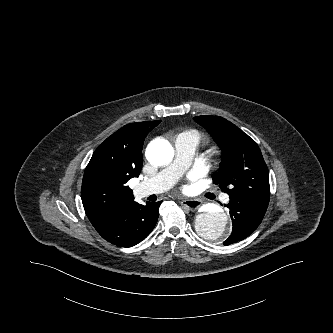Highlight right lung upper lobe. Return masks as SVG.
<instances>
[{"label":"right lung upper lobe","mask_w":333,"mask_h":333,"mask_svg":"<svg viewBox=\"0 0 333 333\" xmlns=\"http://www.w3.org/2000/svg\"><path fill=\"white\" fill-rule=\"evenodd\" d=\"M160 122L128 124L108 137L93 153L85 168L81 188L84 210L93 226L134 200L126 183L139 176L144 139Z\"/></svg>","instance_id":"1"}]
</instances>
